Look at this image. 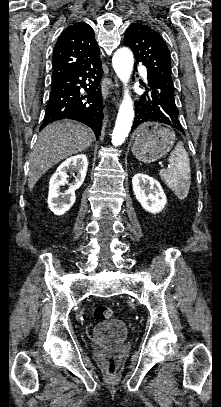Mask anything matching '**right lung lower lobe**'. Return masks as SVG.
Listing matches in <instances>:
<instances>
[{
    "label": "right lung lower lobe",
    "mask_w": 221,
    "mask_h": 407,
    "mask_svg": "<svg viewBox=\"0 0 221 407\" xmlns=\"http://www.w3.org/2000/svg\"><path fill=\"white\" fill-rule=\"evenodd\" d=\"M102 75L101 61L97 56L86 64L53 79L40 130L51 122L72 119L89 126L98 139L103 118L100 88Z\"/></svg>",
    "instance_id": "obj_1"
}]
</instances>
